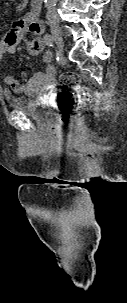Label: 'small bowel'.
I'll return each mask as SVG.
<instances>
[{"mask_svg":"<svg viewBox=\"0 0 127 303\" xmlns=\"http://www.w3.org/2000/svg\"><path fill=\"white\" fill-rule=\"evenodd\" d=\"M42 0H30V10L23 17L15 20L12 23L10 30L5 34H0V63L5 54H13L16 51V45L21 42L27 32L34 34L33 40L26 43L27 52L30 55H42V60L46 64L44 72L35 73L31 78H28L26 72L21 73L24 80L21 83L14 76L6 75L4 83L12 91L16 93H35L41 87H52L55 68L52 65L53 55L46 48V43L42 37L44 24L39 20L38 16L41 11Z\"/></svg>","mask_w":127,"mask_h":303,"instance_id":"c3829d8e","label":"small bowel"}]
</instances>
